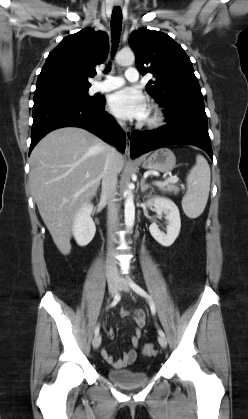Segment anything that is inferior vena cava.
Returning <instances> with one entry per match:
<instances>
[{"label":"inferior vena cava","mask_w":248,"mask_h":419,"mask_svg":"<svg viewBox=\"0 0 248 419\" xmlns=\"http://www.w3.org/2000/svg\"><path fill=\"white\" fill-rule=\"evenodd\" d=\"M121 126L125 124L119 122ZM117 150L109 146L107 159L104 165V170L102 173V192L101 198L108 204V265L107 271L109 276L117 277V262L115 260V254L113 252V242L115 238V227L117 222V206L115 203V194L117 187V166L115 163V157L117 155Z\"/></svg>","instance_id":"1"}]
</instances>
